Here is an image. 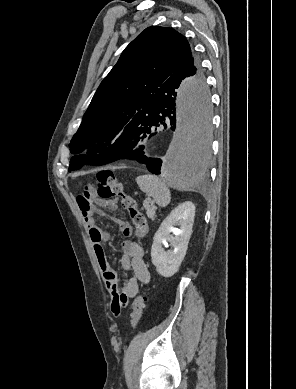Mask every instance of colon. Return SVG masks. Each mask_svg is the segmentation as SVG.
<instances>
[{"label": "colon", "instance_id": "colon-1", "mask_svg": "<svg viewBox=\"0 0 296 389\" xmlns=\"http://www.w3.org/2000/svg\"><path fill=\"white\" fill-rule=\"evenodd\" d=\"M94 191L91 185L84 186V192L89 193ZM97 195L98 197L116 206V202L120 200L121 206L125 209L132 220L135 228V234L138 238H143L148 229L147 220L144 214L137 208L136 201L124 193L122 184L118 181L113 171L104 169L97 173ZM146 308V297L139 295L135 298L132 305L131 325L135 329L140 321L143 311ZM116 312L115 315H118Z\"/></svg>", "mask_w": 296, "mask_h": 389}]
</instances>
